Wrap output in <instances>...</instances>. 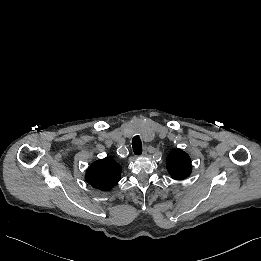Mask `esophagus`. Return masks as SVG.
Returning a JSON list of instances; mask_svg holds the SVG:
<instances>
[{"label": "esophagus", "mask_w": 261, "mask_h": 261, "mask_svg": "<svg viewBox=\"0 0 261 261\" xmlns=\"http://www.w3.org/2000/svg\"><path fill=\"white\" fill-rule=\"evenodd\" d=\"M143 156H147V151L144 150L143 153H142Z\"/></svg>", "instance_id": "1"}]
</instances>
